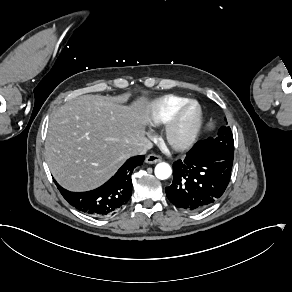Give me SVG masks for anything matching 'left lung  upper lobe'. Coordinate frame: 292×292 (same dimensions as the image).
<instances>
[{
    "instance_id": "left-lung-upper-lobe-1",
    "label": "left lung upper lobe",
    "mask_w": 292,
    "mask_h": 292,
    "mask_svg": "<svg viewBox=\"0 0 292 292\" xmlns=\"http://www.w3.org/2000/svg\"><path fill=\"white\" fill-rule=\"evenodd\" d=\"M199 152H215L226 156H234V140L229 126H222L218 135L202 140L198 147Z\"/></svg>"
}]
</instances>
